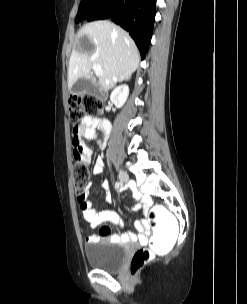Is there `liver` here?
<instances>
[{"mask_svg": "<svg viewBox=\"0 0 247 304\" xmlns=\"http://www.w3.org/2000/svg\"><path fill=\"white\" fill-rule=\"evenodd\" d=\"M86 40L85 48L81 40ZM139 51L130 35L109 21L86 24L77 34L68 68V88L81 77L92 78L93 64L101 66L100 88L108 91L117 82L130 79L138 68Z\"/></svg>", "mask_w": 247, "mask_h": 304, "instance_id": "liver-1", "label": "liver"}]
</instances>
